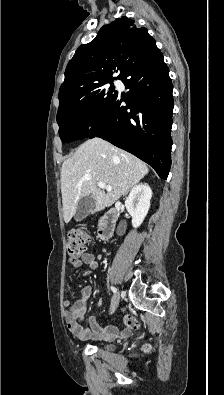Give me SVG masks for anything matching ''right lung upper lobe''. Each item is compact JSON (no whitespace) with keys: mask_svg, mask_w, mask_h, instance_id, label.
<instances>
[{"mask_svg":"<svg viewBox=\"0 0 224 395\" xmlns=\"http://www.w3.org/2000/svg\"><path fill=\"white\" fill-rule=\"evenodd\" d=\"M156 47L147 29L123 16L103 26L69 61L59 90L60 104L70 96L113 79H121L131 65ZM119 71L118 77L112 74ZM59 104V105H60Z\"/></svg>","mask_w":224,"mask_h":395,"instance_id":"right-lung-upper-lobe-1","label":"right lung upper lobe"}]
</instances>
